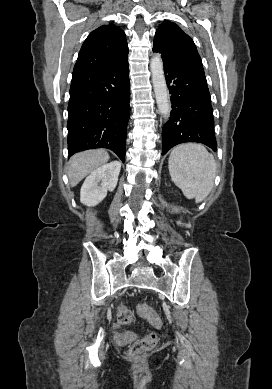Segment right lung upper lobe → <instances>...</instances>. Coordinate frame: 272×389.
<instances>
[{
	"instance_id": "obj_1",
	"label": "right lung upper lobe",
	"mask_w": 272,
	"mask_h": 389,
	"mask_svg": "<svg viewBox=\"0 0 272 389\" xmlns=\"http://www.w3.org/2000/svg\"><path fill=\"white\" fill-rule=\"evenodd\" d=\"M128 55L125 33L114 24L102 25L84 41L73 75L90 73L113 65Z\"/></svg>"
}]
</instances>
